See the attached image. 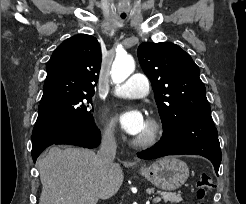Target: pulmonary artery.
<instances>
[{"mask_svg":"<svg viewBox=\"0 0 246 204\" xmlns=\"http://www.w3.org/2000/svg\"><path fill=\"white\" fill-rule=\"evenodd\" d=\"M149 92V80L144 74L136 73L114 90L122 98H140Z\"/></svg>","mask_w":246,"mask_h":204,"instance_id":"pulmonary-artery-1","label":"pulmonary artery"}]
</instances>
